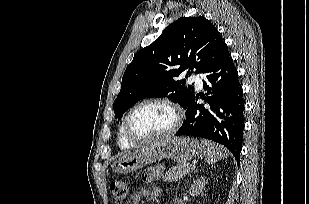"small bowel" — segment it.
<instances>
[{"instance_id":"obj_1","label":"small bowel","mask_w":309,"mask_h":204,"mask_svg":"<svg viewBox=\"0 0 309 204\" xmlns=\"http://www.w3.org/2000/svg\"><path fill=\"white\" fill-rule=\"evenodd\" d=\"M159 172H160L159 168H150L144 172L143 180L146 182L152 181L153 179H155V177L158 175ZM140 199H141V194H135L132 197L131 204H138Z\"/></svg>"}]
</instances>
